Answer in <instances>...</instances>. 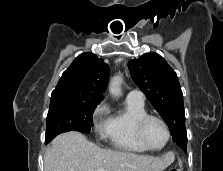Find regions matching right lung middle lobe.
<instances>
[{
	"instance_id": "dd1d6c3e",
	"label": "right lung middle lobe",
	"mask_w": 223,
	"mask_h": 171,
	"mask_svg": "<svg viewBox=\"0 0 223 171\" xmlns=\"http://www.w3.org/2000/svg\"><path fill=\"white\" fill-rule=\"evenodd\" d=\"M99 103L79 99L51 101L47 115L45 143L67 131L89 133L93 127V112Z\"/></svg>"
}]
</instances>
